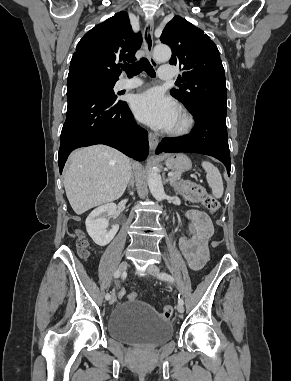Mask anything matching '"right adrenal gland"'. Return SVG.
<instances>
[{
    "label": "right adrenal gland",
    "instance_id": "right-adrenal-gland-1",
    "mask_svg": "<svg viewBox=\"0 0 291 381\" xmlns=\"http://www.w3.org/2000/svg\"><path fill=\"white\" fill-rule=\"evenodd\" d=\"M129 187H134V174L133 173H131V177H130V180L128 183V188Z\"/></svg>",
    "mask_w": 291,
    "mask_h": 381
}]
</instances>
